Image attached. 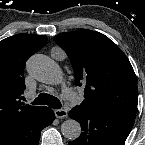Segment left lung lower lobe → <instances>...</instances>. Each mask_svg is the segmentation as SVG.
<instances>
[{
  "label": "left lung lower lobe",
  "mask_w": 145,
  "mask_h": 145,
  "mask_svg": "<svg viewBox=\"0 0 145 145\" xmlns=\"http://www.w3.org/2000/svg\"><path fill=\"white\" fill-rule=\"evenodd\" d=\"M69 115L78 121L83 132L68 145H123L128 137L136 114L129 112H97L79 106Z\"/></svg>",
  "instance_id": "0a47b994"
}]
</instances>
